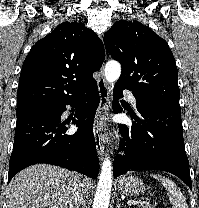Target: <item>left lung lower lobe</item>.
<instances>
[{
    "label": "left lung lower lobe",
    "instance_id": "obj_1",
    "mask_svg": "<svg viewBox=\"0 0 199 208\" xmlns=\"http://www.w3.org/2000/svg\"><path fill=\"white\" fill-rule=\"evenodd\" d=\"M125 87L115 85L113 111L121 112L117 102ZM137 100V99H136ZM140 118L135 114L131 127L119 125L125 156L117 155L113 175L131 170L151 169L170 172L183 180L190 189L189 162L185 152L181 109L153 106L137 100Z\"/></svg>",
    "mask_w": 199,
    "mask_h": 208
}]
</instances>
